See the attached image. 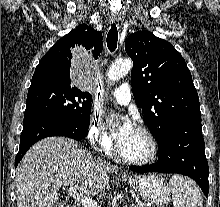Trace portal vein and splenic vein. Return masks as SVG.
<instances>
[{"label":"portal vein and splenic vein","mask_w":220,"mask_h":207,"mask_svg":"<svg viewBox=\"0 0 220 207\" xmlns=\"http://www.w3.org/2000/svg\"><path fill=\"white\" fill-rule=\"evenodd\" d=\"M67 194L80 202L84 207H100L97 201L87 197L82 193L77 192L73 186H69Z\"/></svg>","instance_id":"18ae733b"}]
</instances>
